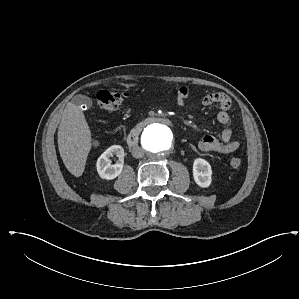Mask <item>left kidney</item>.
Returning <instances> with one entry per match:
<instances>
[{
    "label": "left kidney",
    "mask_w": 299,
    "mask_h": 299,
    "mask_svg": "<svg viewBox=\"0 0 299 299\" xmlns=\"http://www.w3.org/2000/svg\"><path fill=\"white\" fill-rule=\"evenodd\" d=\"M212 169L210 164L202 159L197 158L193 163V178L196 184L202 188H207L211 184Z\"/></svg>",
    "instance_id": "1"
}]
</instances>
